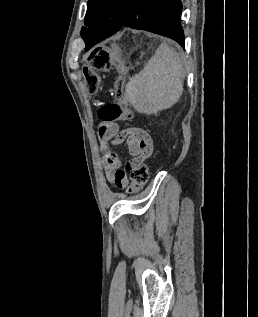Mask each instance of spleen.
Returning <instances> with one entry per match:
<instances>
[{
    "mask_svg": "<svg viewBox=\"0 0 258 317\" xmlns=\"http://www.w3.org/2000/svg\"><path fill=\"white\" fill-rule=\"evenodd\" d=\"M129 102L145 114L170 108L183 92V66L179 52L160 44L143 70L131 76L125 86Z\"/></svg>",
    "mask_w": 258,
    "mask_h": 317,
    "instance_id": "spleen-1",
    "label": "spleen"
}]
</instances>
